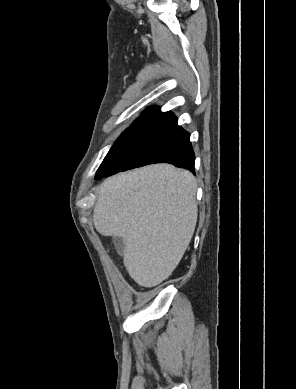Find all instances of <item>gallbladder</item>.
<instances>
[{
    "instance_id": "bac80fb5",
    "label": "gallbladder",
    "mask_w": 296,
    "mask_h": 389,
    "mask_svg": "<svg viewBox=\"0 0 296 389\" xmlns=\"http://www.w3.org/2000/svg\"><path fill=\"white\" fill-rule=\"evenodd\" d=\"M112 242L114 244L115 249L117 250L119 255H123L125 251V243L122 237L115 236L112 238Z\"/></svg>"
}]
</instances>
